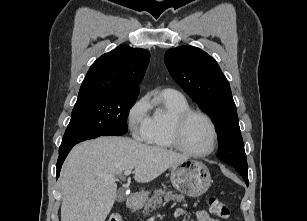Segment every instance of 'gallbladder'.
Listing matches in <instances>:
<instances>
[{"label": "gallbladder", "mask_w": 307, "mask_h": 221, "mask_svg": "<svg viewBox=\"0 0 307 221\" xmlns=\"http://www.w3.org/2000/svg\"><path fill=\"white\" fill-rule=\"evenodd\" d=\"M117 199L118 201H123L124 200V196H123V190H120L117 194Z\"/></svg>", "instance_id": "1"}]
</instances>
